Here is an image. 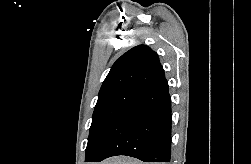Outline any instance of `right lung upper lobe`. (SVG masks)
I'll use <instances>...</instances> for the list:
<instances>
[{
    "instance_id": "right-lung-upper-lobe-1",
    "label": "right lung upper lobe",
    "mask_w": 251,
    "mask_h": 164,
    "mask_svg": "<svg viewBox=\"0 0 251 164\" xmlns=\"http://www.w3.org/2000/svg\"><path fill=\"white\" fill-rule=\"evenodd\" d=\"M165 78L158 55L146 45H138L123 54L113 64L99 95L120 89H144Z\"/></svg>"
}]
</instances>
